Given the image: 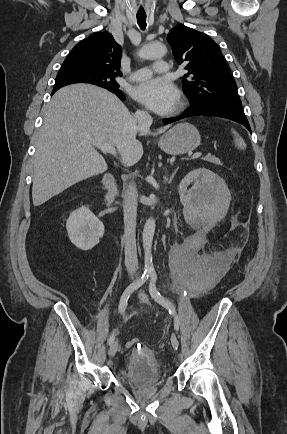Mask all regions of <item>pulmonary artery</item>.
<instances>
[{"label": "pulmonary artery", "mask_w": 287, "mask_h": 434, "mask_svg": "<svg viewBox=\"0 0 287 434\" xmlns=\"http://www.w3.org/2000/svg\"><path fill=\"white\" fill-rule=\"evenodd\" d=\"M168 70H169V66L164 61H156L153 64V71L157 74H161V75L167 74ZM151 74L152 71L150 69L141 68L133 72L132 75L130 76V79L132 81L146 80L151 76Z\"/></svg>", "instance_id": "e3ab8cb5"}]
</instances>
